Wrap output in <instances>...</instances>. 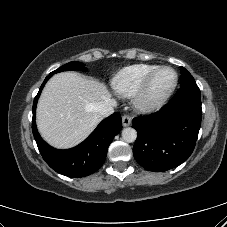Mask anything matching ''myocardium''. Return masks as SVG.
<instances>
[{"instance_id": "1", "label": "myocardium", "mask_w": 227, "mask_h": 227, "mask_svg": "<svg viewBox=\"0 0 227 227\" xmlns=\"http://www.w3.org/2000/svg\"><path fill=\"white\" fill-rule=\"evenodd\" d=\"M163 70H171L175 74V80L172 86L158 96H151V86L156 76ZM179 76L177 71L170 66H159L151 72L134 95L135 108L143 113H151L160 109L171 97L178 84Z\"/></svg>"}]
</instances>
